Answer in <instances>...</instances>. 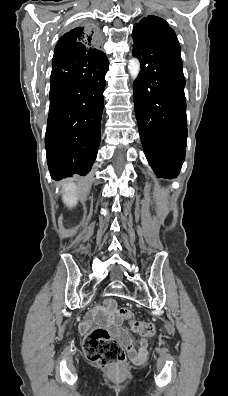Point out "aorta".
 Here are the masks:
<instances>
[{"label":"aorta","instance_id":"762f6f07","mask_svg":"<svg viewBox=\"0 0 228 396\" xmlns=\"http://www.w3.org/2000/svg\"><path fill=\"white\" fill-rule=\"evenodd\" d=\"M128 70L133 80H135L140 72V62L137 58L130 59L128 63Z\"/></svg>","mask_w":228,"mask_h":396}]
</instances>
